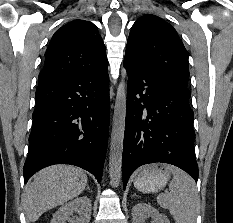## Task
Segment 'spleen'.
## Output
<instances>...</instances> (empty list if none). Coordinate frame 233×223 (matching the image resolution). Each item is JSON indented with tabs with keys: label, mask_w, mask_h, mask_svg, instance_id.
I'll use <instances>...</instances> for the list:
<instances>
[{
	"label": "spleen",
	"mask_w": 233,
	"mask_h": 223,
	"mask_svg": "<svg viewBox=\"0 0 233 223\" xmlns=\"http://www.w3.org/2000/svg\"><path fill=\"white\" fill-rule=\"evenodd\" d=\"M171 171L173 179L169 183L170 193H159L157 201L161 207L169 209L176 223H195L200 197L194 179L174 165Z\"/></svg>",
	"instance_id": "obj_1"
}]
</instances>
